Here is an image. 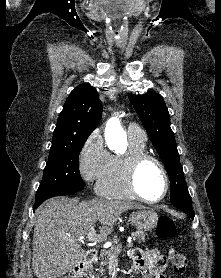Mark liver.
Listing matches in <instances>:
<instances>
[{"instance_id": "6515ba94", "label": "liver", "mask_w": 221, "mask_h": 278, "mask_svg": "<svg viewBox=\"0 0 221 278\" xmlns=\"http://www.w3.org/2000/svg\"><path fill=\"white\" fill-rule=\"evenodd\" d=\"M130 209H145L131 201L93 199L77 202L67 197L50 199L36 211L32 268L37 278H59L82 262L85 251L79 238L99 221L106 237L120 215Z\"/></svg>"}]
</instances>
